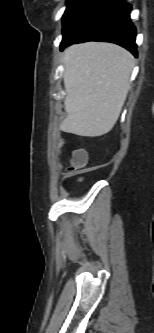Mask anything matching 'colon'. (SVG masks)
Masks as SVG:
<instances>
[{
	"label": "colon",
	"mask_w": 154,
	"mask_h": 333,
	"mask_svg": "<svg viewBox=\"0 0 154 333\" xmlns=\"http://www.w3.org/2000/svg\"><path fill=\"white\" fill-rule=\"evenodd\" d=\"M87 163V158L82 150H77L73 153L71 163L66 170L67 177H78Z\"/></svg>",
	"instance_id": "1"
}]
</instances>
